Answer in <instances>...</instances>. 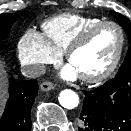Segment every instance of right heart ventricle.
I'll return each mask as SVG.
<instances>
[{
	"mask_svg": "<svg viewBox=\"0 0 131 131\" xmlns=\"http://www.w3.org/2000/svg\"><path fill=\"white\" fill-rule=\"evenodd\" d=\"M100 21L102 20L97 17L64 13L47 19L42 24V29L46 40L59 53H63L84 29Z\"/></svg>",
	"mask_w": 131,
	"mask_h": 131,
	"instance_id": "e07e8e85",
	"label": "right heart ventricle"
}]
</instances>
